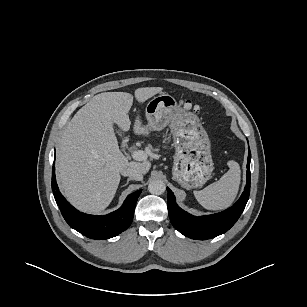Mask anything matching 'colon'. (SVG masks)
Returning a JSON list of instances; mask_svg holds the SVG:
<instances>
[{"mask_svg":"<svg viewBox=\"0 0 307 307\" xmlns=\"http://www.w3.org/2000/svg\"><path fill=\"white\" fill-rule=\"evenodd\" d=\"M180 104L186 110L193 109L196 113H201L200 107L197 105H193L192 102L189 100H182Z\"/></svg>","mask_w":307,"mask_h":307,"instance_id":"5ec220e1","label":"colon"}]
</instances>
